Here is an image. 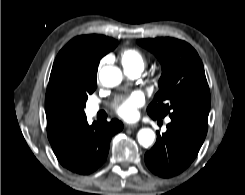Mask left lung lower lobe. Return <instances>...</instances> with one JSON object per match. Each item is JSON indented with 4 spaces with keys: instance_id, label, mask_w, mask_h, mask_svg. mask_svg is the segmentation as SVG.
<instances>
[{
    "instance_id": "left-lung-lower-lobe-1",
    "label": "left lung lower lobe",
    "mask_w": 245,
    "mask_h": 195,
    "mask_svg": "<svg viewBox=\"0 0 245 195\" xmlns=\"http://www.w3.org/2000/svg\"><path fill=\"white\" fill-rule=\"evenodd\" d=\"M208 125L171 118L167 131L160 135L145 154L147 167L156 175L173 177L184 171L196 158L207 134Z\"/></svg>"
}]
</instances>
